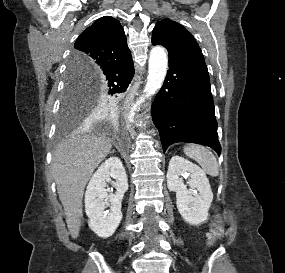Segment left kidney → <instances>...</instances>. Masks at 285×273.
Segmentation results:
<instances>
[{
    "label": "left kidney",
    "mask_w": 285,
    "mask_h": 273,
    "mask_svg": "<svg viewBox=\"0 0 285 273\" xmlns=\"http://www.w3.org/2000/svg\"><path fill=\"white\" fill-rule=\"evenodd\" d=\"M184 175L190 177L187 182L190 190L179 178ZM167 187L176 192L177 209L187 223L200 225L207 219L213 193L205 172L199 166L181 156H173L168 166Z\"/></svg>",
    "instance_id": "5707ae66"
}]
</instances>
